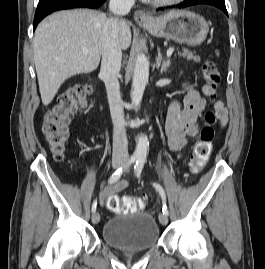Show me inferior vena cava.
<instances>
[{"mask_svg": "<svg viewBox=\"0 0 265 269\" xmlns=\"http://www.w3.org/2000/svg\"><path fill=\"white\" fill-rule=\"evenodd\" d=\"M135 0H110L109 9L114 15L129 13ZM122 52L119 41V20L107 19L102 31L101 75L104 80L113 122V160L128 159V141L123 102L118 81Z\"/></svg>", "mask_w": 265, "mask_h": 269, "instance_id": "602c4592", "label": "inferior vena cava"}]
</instances>
